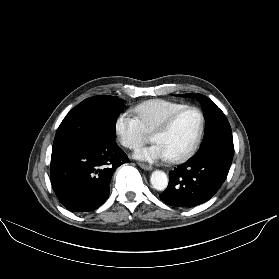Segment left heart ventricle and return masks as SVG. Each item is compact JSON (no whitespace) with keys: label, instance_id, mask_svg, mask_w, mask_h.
<instances>
[{"label":"left heart ventricle","instance_id":"obj_1","mask_svg":"<svg viewBox=\"0 0 279 279\" xmlns=\"http://www.w3.org/2000/svg\"><path fill=\"white\" fill-rule=\"evenodd\" d=\"M199 127V117L195 111L189 110L180 114L170 127L163 133L152 136L166 150L169 158L184 153L192 144Z\"/></svg>","mask_w":279,"mask_h":279}]
</instances>
